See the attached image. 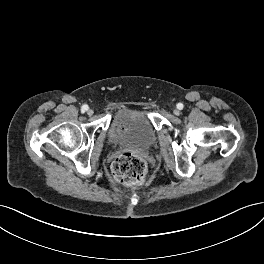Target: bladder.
Returning a JSON list of instances; mask_svg holds the SVG:
<instances>
[{
	"mask_svg": "<svg viewBox=\"0 0 264 264\" xmlns=\"http://www.w3.org/2000/svg\"><path fill=\"white\" fill-rule=\"evenodd\" d=\"M109 139L114 145L147 150L156 143L157 132L147 112L122 109L113 118Z\"/></svg>",
	"mask_w": 264,
	"mask_h": 264,
	"instance_id": "bladder-1",
	"label": "bladder"
}]
</instances>
